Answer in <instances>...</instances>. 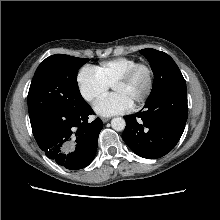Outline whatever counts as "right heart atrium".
Masks as SVG:
<instances>
[{
	"label": "right heart atrium",
	"mask_w": 220,
	"mask_h": 220,
	"mask_svg": "<svg viewBox=\"0 0 220 220\" xmlns=\"http://www.w3.org/2000/svg\"><path fill=\"white\" fill-rule=\"evenodd\" d=\"M77 85L81 97L88 103H93L104 96L107 86L94 72L92 67H84L77 76Z\"/></svg>",
	"instance_id": "right-heart-atrium-1"
}]
</instances>
